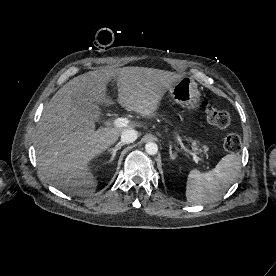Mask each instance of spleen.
I'll return each mask as SVG.
<instances>
[{
    "instance_id": "obj_1",
    "label": "spleen",
    "mask_w": 276,
    "mask_h": 276,
    "mask_svg": "<svg viewBox=\"0 0 276 276\" xmlns=\"http://www.w3.org/2000/svg\"><path fill=\"white\" fill-rule=\"evenodd\" d=\"M241 165L239 154L224 156L214 169L201 173L192 170L186 183V198L191 204H207L222 197L238 176Z\"/></svg>"
}]
</instances>
